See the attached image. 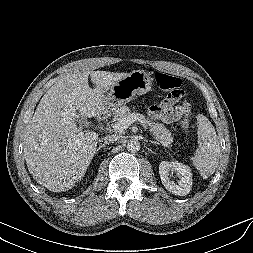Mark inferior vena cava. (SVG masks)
Instances as JSON below:
<instances>
[{
    "instance_id": "obj_1",
    "label": "inferior vena cava",
    "mask_w": 253,
    "mask_h": 253,
    "mask_svg": "<svg viewBox=\"0 0 253 253\" xmlns=\"http://www.w3.org/2000/svg\"><path fill=\"white\" fill-rule=\"evenodd\" d=\"M117 138L118 137L115 135L105 136L103 138H100L99 142L103 144L114 143L115 141H117Z\"/></svg>"
}]
</instances>
